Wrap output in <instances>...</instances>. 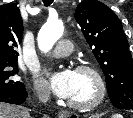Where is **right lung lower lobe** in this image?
Masks as SVG:
<instances>
[{"instance_id":"obj_1","label":"right lung lower lobe","mask_w":133,"mask_h":118,"mask_svg":"<svg viewBox=\"0 0 133 118\" xmlns=\"http://www.w3.org/2000/svg\"><path fill=\"white\" fill-rule=\"evenodd\" d=\"M27 97L24 84L17 89L0 91V102L10 104H22Z\"/></svg>"}]
</instances>
